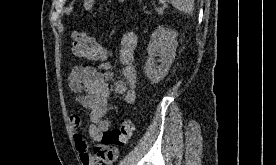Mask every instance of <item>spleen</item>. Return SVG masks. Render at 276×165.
Returning a JSON list of instances; mask_svg holds the SVG:
<instances>
[{"label": "spleen", "mask_w": 276, "mask_h": 165, "mask_svg": "<svg viewBox=\"0 0 276 165\" xmlns=\"http://www.w3.org/2000/svg\"><path fill=\"white\" fill-rule=\"evenodd\" d=\"M162 2L170 1L174 8L185 14L192 15L194 10V0H161Z\"/></svg>", "instance_id": "obj_1"}]
</instances>
